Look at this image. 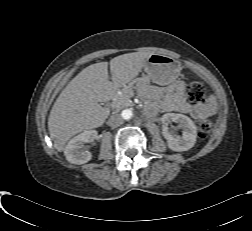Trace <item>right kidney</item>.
Listing matches in <instances>:
<instances>
[{"mask_svg":"<svg viewBox=\"0 0 252 231\" xmlns=\"http://www.w3.org/2000/svg\"><path fill=\"white\" fill-rule=\"evenodd\" d=\"M97 135L95 130H87L71 139L65 147L66 159L72 164H84L91 160L92 154L84 144L92 141Z\"/></svg>","mask_w":252,"mask_h":231,"instance_id":"1","label":"right kidney"}]
</instances>
